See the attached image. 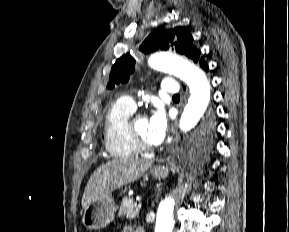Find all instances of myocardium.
Segmentation results:
<instances>
[{
    "label": "myocardium",
    "instance_id": "1",
    "mask_svg": "<svg viewBox=\"0 0 289 232\" xmlns=\"http://www.w3.org/2000/svg\"><path fill=\"white\" fill-rule=\"evenodd\" d=\"M143 116L142 114H132L127 123H126V132L127 135L129 137V139L131 140V142L133 143V145L136 147V149L140 152H151L154 149L153 145H149L147 143H145L144 141H142L133 131L132 129V124L135 121L136 118Z\"/></svg>",
    "mask_w": 289,
    "mask_h": 232
}]
</instances>
